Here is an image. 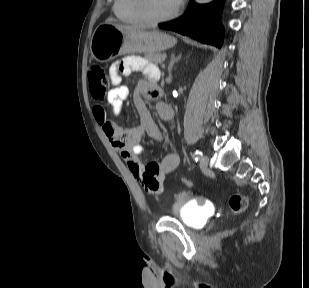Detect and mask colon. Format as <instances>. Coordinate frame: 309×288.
<instances>
[{"label": "colon", "mask_w": 309, "mask_h": 288, "mask_svg": "<svg viewBox=\"0 0 309 288\" xmlns=\"http://www.w3.org/2000/svg\"><path fill=\"white\" fill-rule=\"evenodd\" d=\"M88 82L91 95L98 100L105 98L108 92V79L102 67L94 66L88 72ZM181 182L185 186H190V179L184 177ZM229 205L233 213L242 212L247 206V199L244 195L235 193L230 196Z\"/></svg>", "instance_id": "colon-1"}]
</instances>
